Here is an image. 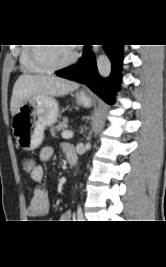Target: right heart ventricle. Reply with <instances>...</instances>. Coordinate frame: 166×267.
<instances>
[{
	"label": "right heart ventricle",
	"instance_id": "obj_1",
	"mask_svg": "<svg viewBox=\"0 0 166 267\" xmlns=\"http://www.w3.org/2000/svg\"><path fill=\"white\" fill-rule=\"evenodd\" d=\"M32 45V44H29ZM32 47L33 46H23L20 51L19 61L22 69L29 73H45L47 69L38 65L32 55Z\"/></svg>",
	"mask_w": 166,
	"mask_h": 267
}]
</instances>
